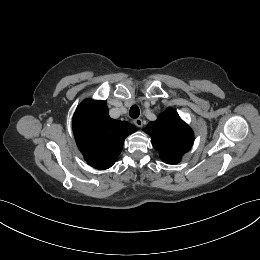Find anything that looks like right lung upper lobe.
<instances>
[{"label": "right lung upper lobe", "instance_id": "right-lung-upper-lobe-1", "mask_svg": "<svg viewBox=\"0 0 260 260\" xmlns=\"http://www.w3.org/2000/svg\"><path fill=\"white\" fill-rule=\"evenodd\" d=\"M72 125L78 149L96 169L110 168L125 138L137 130L127 121L112 119L106 101H83L74 113Z\"/></svg>", "mask_w": 260, "mask_h": 260}]
</instances>
